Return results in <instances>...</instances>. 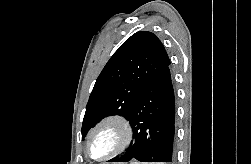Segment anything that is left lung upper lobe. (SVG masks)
I'll list each match as a JSON object with an SVG mask.
<instances>
[{
    "label": "left lung upper lobe",
    "mask_w": 251,
    "mask_h": 164,
    "mask_svg": "<svg viewBox=\"0 0 251 164\" xmlns=\"http://www.w3.org/2000/svg\"><path fill=\"white\" fill-rule=\"evenodd\" d=\"M170 64L156 35L139 31L113 54L96 80L86 106L82 136L101 118L131 110L146 85Z\"/></svg>",
    "instance_id": "1"
}]
</instances>
